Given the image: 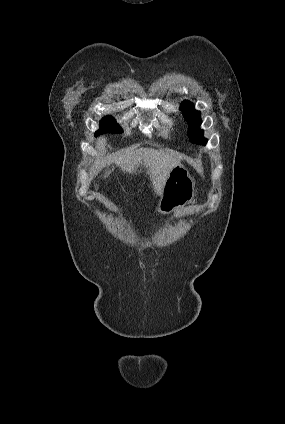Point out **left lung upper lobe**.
Listing matches in <instances>:
<instances>
[{"mask_svg": "<svg viewBox=\"0 0 285 424\" xmlns=\"http://www.w3.org/2000/svg\"><path fill=\"white\" fill-rule=\"evenodd\" d=\"M180 109L183 111V116L189 125L188 136L190 142L194 144H204L206 139L204 138L203 131L200 129L202 123L200 112L194 110V105L185 100L181 103Z\"/></svg>", "mask_w": 285, "mask_h": 424, "instance_id": "obj_1", "label": "left lung upper lobe"}]
</instances>
